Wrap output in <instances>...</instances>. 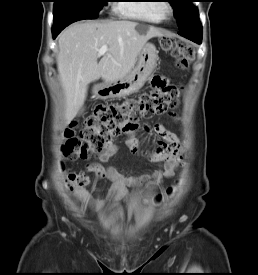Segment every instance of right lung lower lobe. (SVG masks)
I'll return each instance as SVG.
<instances>
[{
  "mask_svg": "<svg viewBox=\"0 0 258 275\" xmlns=\"http://www.w3.org/2000/svg\"><path fill=\"white\" fill-rule=\"evenodd\" d=\"M82 20L80 18H61V19H54L53 21V27H52V33H53V38H55L59 32L64 29L66 26L69 24Z\"/></svg>",
  "mask_w": 258,
  "mask_h": 275,
  "instance_id": "98d812e1",
  "label": "right lung lower lobe"
}]
</instances>
